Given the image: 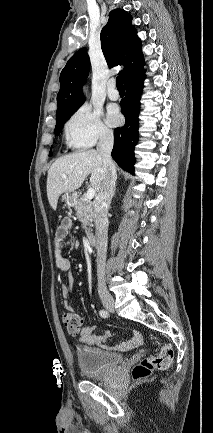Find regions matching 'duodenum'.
<instances>
[{
	"label": "duodenum",
	"instance_id": "obj_1",
	"mask_svg": "<svg viewBox=\"0 0 213 433\" xmlns=\"http://www.w3.org/2000/svg\"><path fill=\"white\" fill-rule=\"evenodd\" d=\"M88 240L91 246H97L98 244V239L97 236L95 234H89L88 235Z\"/></svg>",
	"mask_w": 213,
	"mask_h": 433
}]
</instances>
